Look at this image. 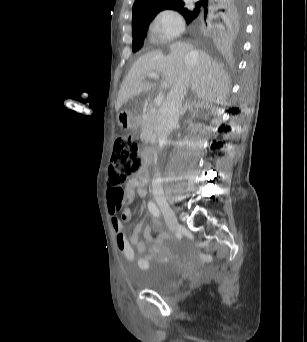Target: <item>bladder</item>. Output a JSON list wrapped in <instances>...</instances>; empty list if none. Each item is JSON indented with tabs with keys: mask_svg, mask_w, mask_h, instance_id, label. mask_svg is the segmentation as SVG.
I'll list each match as a JSON object with an SVG mask.
<instances>
[{
	"mask_svg": "<svg viewBox=\"0 0 307 342\" xmlns=\"http://www.w3.org/2000/svg\"><path fill=\"white\" fill-rule=\"evenodd\" d=\"M180 280V273L175 266L157 259L149 263L146 269L144 287L158 293H168L179 287Z\"/></svg>",
	"mask_w": 307,
	"mask_h": 342,
	"instance_id": "obj_1",
	"label": "bladder"
}]
</instances>
